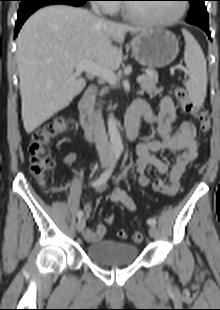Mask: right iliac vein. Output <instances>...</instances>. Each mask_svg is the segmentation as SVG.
I'll use <instances>...</instances> for the list:
<instances>
[{
  "label": "right iliac vein",
  "instance_id": "right-iliac-vein-1",
  "mask_svg": "<svg viewBox=\"0 0 220 310\" xmlns=\"http://www.w3.org/2000/svg\"><path fill=\"white\" fill-rule=\"evenodd\" d=\"M111 159L109 157H102L100 160L101 167H106L109 165ZM85 228V220L84 218H80L76 224V229L79 233H81Z\"/></svg>",
  "mask_w": 220,
  "mask_h": 310
}]
</instances>
